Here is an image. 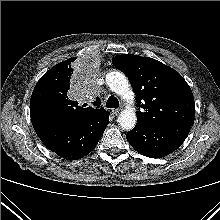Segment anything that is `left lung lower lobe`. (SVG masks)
I'll list each match as a JSON object with an SVG mask.
<instances>
[{
    "mask_svg": "<svg viewBox=\"0 0 220 220\" xmlns=\"http://www.w3.org/2000/svg\"><path fill=\"white\" fill-rule=\"evenodd\" d=\"M190 128L191 126L185 124L156 126L137 121L134 129L126 134V138L138 153L151 158H160L179 148Z\"/></svg>",
    "mask_w": 220,
    "mask_h": 220,
    "instance_id": "left-lung-lower-lobe-1",
    "label": "left lung lower lobe"
}]
</instances>
